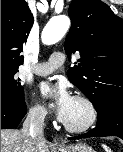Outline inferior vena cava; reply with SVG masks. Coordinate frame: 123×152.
Instances as JSON below:
<instances>
[{"instance_id": "obj_1", "label": "inferior vena cava", "mask_w": 123, "mask_h": 152, "mask_svg": "<svg viewBox=\"0 0 123 152\" xmlns=\"http://www.w3.org/2000/svg\"><path fill=\"white\" fill-rule=\"evenodd\" d=\"M46 116L45 111L34 110L30 111L27 118L23 123L22 132L29 137L34 144L36 141H44V119Z\"/></svg>"}]
</instances>
